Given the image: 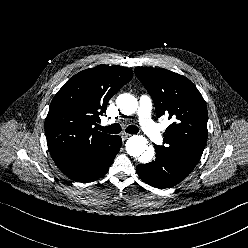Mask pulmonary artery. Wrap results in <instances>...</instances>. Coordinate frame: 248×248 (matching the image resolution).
I'll return each mask as SVG.
<instances>
[{
  "mask_svg": "<svg viewBox=\"0 0 248 248\" xmlns=\"http://www.w3.org/2000/svg\"><path fill=\"white\" fill-rule=\"evenodd\" d=\"M138 117H139V123L144 133L153 142L161 143L163 138L156 124L151 119V99L147 95H142L140 97ZM115 121L116 120H112V122Z\"/></svg>",
  "mask_w": 248,
  "mask_h": 248,
  "instance_id": "obj_1",
  "label": "pulmonary artery"
}]
</instances>
